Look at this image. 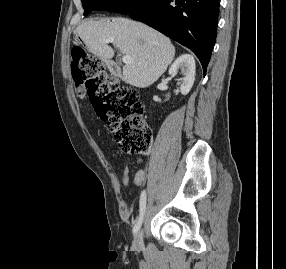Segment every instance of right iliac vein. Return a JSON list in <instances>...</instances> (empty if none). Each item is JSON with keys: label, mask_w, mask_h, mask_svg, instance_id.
<instances>
[{"label": "right iliac vein", "mask_w": 286, "mask_h": 269, "mask_svg": "<svg viewBox=\"0 0 286 269\" xmlns=\"http://www.w3.org/2000/svg\"><path fill=\"white\" fill-rule=\"evenodd\" d=\"M143 247V232L139 231L133 240V248L140 249Z\"/></svg>", "instance_id": "63e3f726"}]
</instances>
